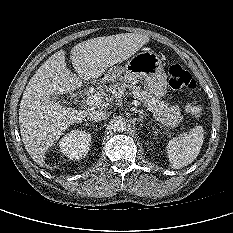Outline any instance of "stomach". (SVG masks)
I'll return each instance as SVG.
<instances>
[{
  "instance_id": "obj_1",
  "label": "stomach",
  "mask_w": 233,
  "mask_h": 233,
  "mask_svg": "<svg viewBox=\"0 0 233 233\" xmlns=\"http://www.w3.org/2000/svg\"><path fill=\"white\" fill-rule=\"evenodd\" d=\"M108 75L119 81L131 82L144 79L149 92L161 98L167 92V75L162 61L153 51H143L132 56L125 66H112Z\"/></svg>"
}]
</instances>
